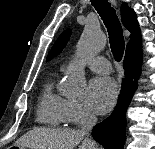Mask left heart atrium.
<instances>
[{"label":"left heart atrium","mask_w":155,"mask_h":149,"mask_svg":"<svg viewBox=\"0 0 155 149\" xmlns=\"http://www.w3.org/2000/svg\"><path fill=\"white\" fill-rule=\"evenodd\" d=\"M117 99L116 83L106 77L94 78L86 91V104L95 113L103 115L115 104Z\"/></svg>","instance_id":"obj_1"}]
</instances>
